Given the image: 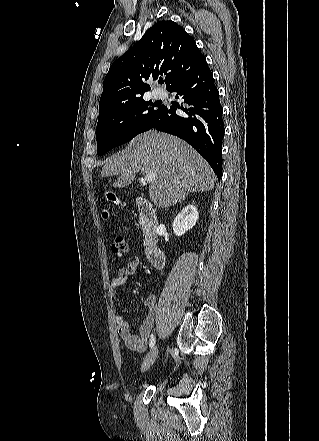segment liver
<instances>
[{
    "label": "liver",
    "mask_w": 319,
    "mask_h": 441,
    "mask_svg": "<svg viewBox=\"0 0 319 441\" xmlns=\"http://www.w3.org/2000/svg\"><path fill=\"white\" fill-rule=\"evenodd\" d=\"M139 171L156 173L149 197L159 208L181 202L191 192L212 190L216 181L209 164L190 145L154 130L138 135L124 151L109 157L101 177L120 175L113 185L124 187Z\"/></svg>",
    "instance_id": "1"
}]
</instances>
